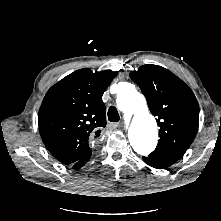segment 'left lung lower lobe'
I'll return each mask as SVG.
<instances>
[{
  "label": "left lung lower lobe",
  "instance_id": "left-lung-lower-lobe-1",
  "mask_svg": "<svg viewBox=\"0 0 221 221\" xmlns=\"http://www.w3.org/2000/svg\"><path fill=\"white\" fill-rule=\"evenodd\" d=\"M180 158L181 156L172 153L154 151L148 157H143V160L146 164L154 168L164 169L177 162Z\"/></svg>",
  "mask_w": 221,
  "mask_h": 221
}]
</instances>
